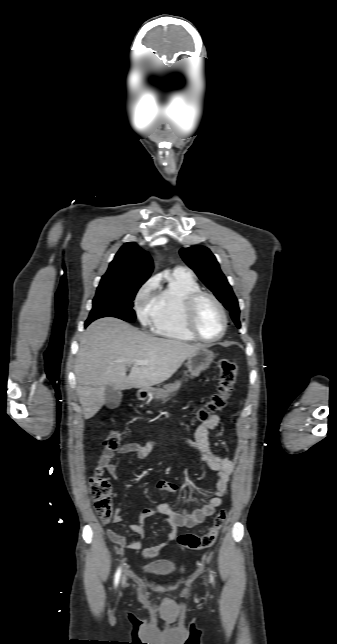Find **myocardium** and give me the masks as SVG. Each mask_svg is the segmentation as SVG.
I'll return each instance as SVG.
<instances>
[{"mask_svg":"<svg viewBox=\"0 0 337 644\" xmlns=\"http://www.w3.org/2000/svg\"><path fill=\"white\" fill-rule=\"evenodd\" d=\"M204 298L210 299L218 307L220 314L222 316L221 332L218 334V336L212 339H207L203 337L199 333L196 326V314H197L198 305L200 301ZM184 321H185L186 328L196 340L201 341L203 343H208V344L215 343L221 340L224 337L228 327V316L222 302L211 292L204 291L201 289L193 292L187 298L185 303V308H184Z\"/></svg>","mask_w":337,"mask_h":644,"instance_id":"obj_1","label":"myocardium"}]
</instances>
